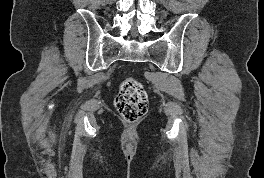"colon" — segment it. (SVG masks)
Segmentation results:
<instances>
[{
  "label": "colon",
  "mask_w": 264,
  "mask_h": 178,
  "mask_svg": "<svg viewBox=\"0 0 264 178\" xmlns=\"http://www.w3.org/2000/svg\"><path fill=\"white\" fill-rule=\"evenodd\" d=\"M114 105L126 121L140 119L148 110V97L143 85L133 77L126 78L121 83Z\"/></svg>",
  "instance_id": "obj_1"
}]
</instances>
